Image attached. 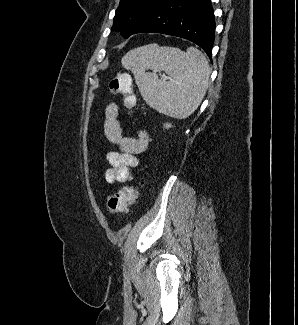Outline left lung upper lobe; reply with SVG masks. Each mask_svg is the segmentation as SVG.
Masks as SVG:
<instances>
[{
  "label": "left lung upper lobe",
  "mask_w": 298,
  "mask_h": 325,
  "mask_svg": "<svg viewBox=\"0 0 298 325\" xmlns=\"http://www.w3.org/2000/svg\"><path fill=\"white\" fill-rule=\"evenodd\" d=\"M164 0H120L112 30L128 38Z\"/></svg>",
  "instance_id": "1"
}]
</instances>
